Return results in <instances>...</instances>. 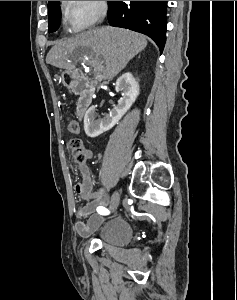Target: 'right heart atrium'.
<instances>
[{
    "label": "right heart atrium",
    "mask_w": 237,
    "mask_h": 300,
    "mask_svg": "<svg viewBox=\"0 0 237 300\" xmlns=\"http://www.w3.org/2000/svg\"><path fill=\"white\" fill-rule=\"evenodd\" d=\"M65 21L72 32H82L102 22L107 14L106 1H62Z\"/></svg>",
    "instance_id": "right-heart-atrium-1"
}]
</instances>
